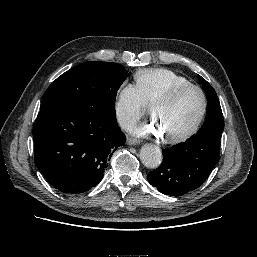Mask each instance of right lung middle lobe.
Masks as SVG:
<instances>
[{
	"label": "right lung middle lobe",
	"instance_id": "obj_1",
	"mask_svg": "<svg viewBox=\"0 0 257 257\" xmlns=\"http://www.w3.org/2000/svg\"><path fill=\"white\" fill-rule=\"evenodd\" d=\"M128 72L117 63L88 61L59 76L46 90L40 110L65 104H89L115 114V100Z\"/></svg>",
	"mask_w": 257,
	"mask_h": 257
}]
</instances>
